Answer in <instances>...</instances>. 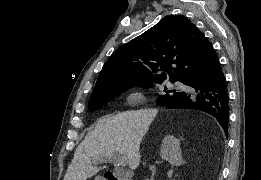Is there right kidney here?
<instances>
[{"instance_id": "ca27d5eb", "label": "right kidney", "mask_w": 261, "mask_h": 180, "mask_svg": "<svg viewBox=\"0 0 261 180\" xmlns=\"http://www.w3.org/2000/svg\"><path fill=\"white\" fill-rule=\"evenodd\" d=\"M160 156L163 160L170 162L172 166H182L183 158L180 152L179 140L175 136H166L162 140Z\"/></svg>"}]
</instances>
